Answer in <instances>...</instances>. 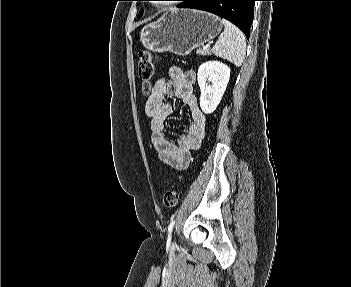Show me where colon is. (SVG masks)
Here are the masks:
<instances>
[{"instance_id":"obj_1","label":"colon","mask_w":351,"mask_h":287,"mask_svg":"<svg viewBox=\"0 0 351 287\" xmlns=\"http://www.w3.org/2000/svg\"><path fill=\"white\" fill-rule=\"evenodd\" d=\"M138 73L142 80L143 90L149 93L152 88L151 80L155 75V58L148 51H141L138 55ZM179 193L176 189L169 190L163 197V203L168 208H173L178 204Z\"/></svg>"}]
</instances>
